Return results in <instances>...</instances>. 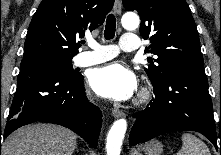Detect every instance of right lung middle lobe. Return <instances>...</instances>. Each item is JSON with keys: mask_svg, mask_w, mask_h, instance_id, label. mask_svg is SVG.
Returning <instances> with one entry per match:
<instances>
[{"mask_svg": "<svg viewBox=\"0 0 221 155\" xmlns=\"http://www.w3.org/2000/svg\"><path fill=\"white\" fill-rule=\"evenodd\" d=\"M72 57H64L56 54H36L24 56L21 64H25L27 62L31 63H44L51 65L61 71L64 75L68 77H75L80 75V73L76 72L71 63Z\"/></svg>", "mask_w": 221, "mask_h": 155, "instance_id": "dd1d6c3e", "label": "right lung middle lobe"}]
</instances>
